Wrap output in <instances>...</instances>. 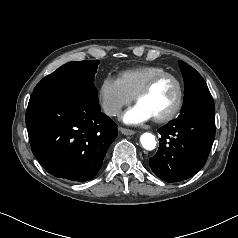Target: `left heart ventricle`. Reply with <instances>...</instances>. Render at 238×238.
Returning <instances> with one entry per match:
<instances>
[{
    "mask_svg": "<svg viewBox=\"0 0 238 238\" xmlns=\"http://www.w3.org/2000/svg\"><path fill=\"white\" fill-rule=\"evenodd\" d=\"M177 99V86L169 78H164L154 85L149 93L139 99L138 103L147 110L152 118L167 114Z\"/></svg>",
    "mask_w": 238,
    "mask_h": 238,
    "instance_id": "obj_1",
    "label": "left heart ventricle"
}]
</instances>
